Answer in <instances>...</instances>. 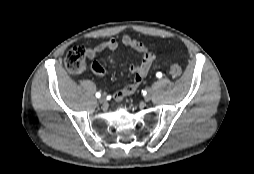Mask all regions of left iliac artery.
I'll list each match as a JSON object with an SVG mask.
<instances>
[{"instance_id":"1","label":"left iliac artery","mask_w":254,"mask_h":174,"mask_svg":"<svg viewBox=\"0 0 254 174\" xmlns=\"http://www.w3.org/2000/svg\"><path fill=\"white\" fill-rule=\"evenodd\" d=\"M156 76H157L158 78H161V77H162V73H161V72H158V73L156 74Z\"/></svg>"}]
</instances>
